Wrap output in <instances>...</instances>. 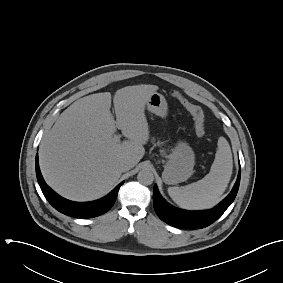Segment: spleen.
I'll list each match as a JSON object with an SVG mask.
<instances>
[{
    "instance_id": "1",
    "label": "spleen",
    "mask_w": 283,
    "mask_h": 283,
    "mask_svg": "<svg viewBox=\"0 0 283 283\" xmlns=\"http://www.w3.org/2000/svg\"><path fill=\"white\" fill-rule=\"evenodd\" d=\"M233 160L229 143L218 139V148L210 172L201 180L183 187H169L168 194L180 207L191 210L215 206L225 192L232 175Z\"/></svg>"
}]
</instances>
